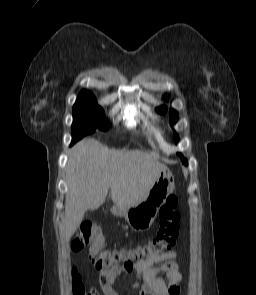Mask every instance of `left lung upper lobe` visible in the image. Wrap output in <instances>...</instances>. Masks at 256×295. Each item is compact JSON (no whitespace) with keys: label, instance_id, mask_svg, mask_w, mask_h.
<instances>
[{"label":"left lung upper lobe","instance_id":"1","mask_svg":"<svg viewBox=\"0 0 256 295\" xmlns=\"http://www.w3.org/2000/svg\"><path fill=\"white\" fill-rule=\"evenodd\" d=\"M166 110H167L166 106L158 107L156 109V111L161 113V114L166 113ZM169 114H170V124H175L177 122V120H178L177 112L175 110H173V109H170ZM178 141H179V138H178V136L176 134V143H178ZM179 155L182 158V162L184 164H187L188 163L187 160L185 158H183V156L181 154H179Z\"/></svg>","mask_w":256,"mask_h":295}]
</instances>
